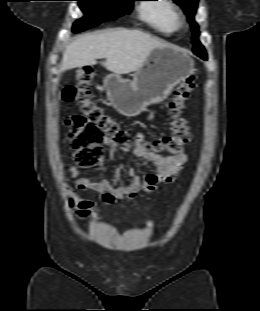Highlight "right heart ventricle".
Listing matches in <instances>:
<instances>
[{
    "label": "right heart ventricle",
    "mask_w": 260,
    "mask_h": 311,
    "mask_svg": "<svg viewBox=\"0 0 260 311\" xmlns=\"http://www.w3.org/2000/svg\"><path fill=\"white\" fill-rule=\"evenodd\" d=\"M139 6L140 18L154 30L170 35L177 29L178 12L170 0H150Z\"/></svg>",
    "instance_id": "right-heart-ventricle-1"
}]
</instances>
